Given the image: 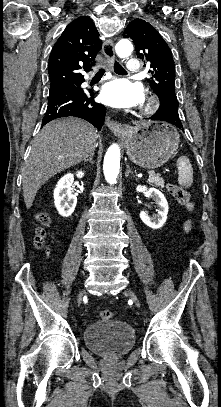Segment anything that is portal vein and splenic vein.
Here are the masks:
<instances>
[{
    "label": "portal vein and splenic vein",
    "mask_w": 221,
    "mask_h": 407,
    "mask_svg": "<svg viewBox=\"0 0 221 407\" xmlns=\"http://www.w3.org/2000/svg\"><path fill=\"white\" fill-rule=\"evenodd\" d=\"M147 173H148L149 175H152V174H154V171L151 170V171H148Z\"/></svg>",
    "instance_id": "18ae733b"
}]
</instances>
